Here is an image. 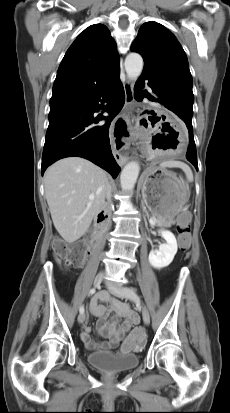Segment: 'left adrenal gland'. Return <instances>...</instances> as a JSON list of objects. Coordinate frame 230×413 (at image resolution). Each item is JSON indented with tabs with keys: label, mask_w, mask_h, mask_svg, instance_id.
<instances>
[{
	"label": "left adrenal gland",
	"mask_w": 230,
	"mask_h": 413,
	"mask_svg": "<svg viewBox=\"0 0 230 413\" xmlns=\"http://www.w3.org/2000/svg\"><path fill=\"white\" fill-rule=\"evenodd\" d=\"M142 207H143V210H144V212L146 213V215H147V217H148V219H149V214H148V212H147V210H146V208H145V206H144L143 202H142Z\"/></svg>",
	"instance_id": "left-adrenal-gland-1"
}]
</instances>
